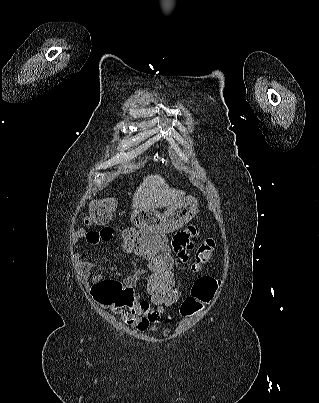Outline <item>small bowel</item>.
Returning <instances> with one entry per match:
<instances>
[{
	"instance_id": "c3829d8e",
	"label": "small bowel",
	"mask_w": 319,
	"mask_h": 403,
	"mask_svg": "<svg viewBox=\"0 0 319 403\" xmlns=\"http://www.w3.org/2000/svg\"><path fill=\"white\" fill-rule=\"evenodd\" d=\"M198 230L197 224H188L181 227L170 238V253L176 262L185 263L191 258ZM77 236L86 239L87 249H104L105 246L112 245V238L116 237V230L114 224H100L99 229L78 231ZM128 244L127 250L129 249ZM74 267L80 280L86 282L94 263L76 256ZM138 276V271H134L125 280L103 278L101 274H95L91 278V296L97 302V309H103L104 315H111L115 324L127 323L139 333L156 331L159 320L164 314L162 304H151L152 306H150L149 302L141 300L135 288ZM148 281L147 278L144 281L146 286ZM178 291V299H180L181 291L179 289ZM188 296H193L192 291ZM178 308H181V302Z\"/></svg>"
}]
</instances>
